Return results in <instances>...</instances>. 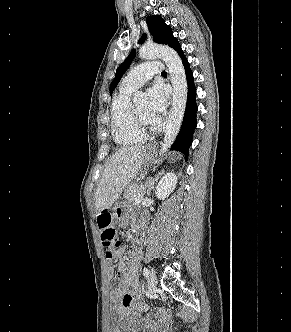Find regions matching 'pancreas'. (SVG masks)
I'll list each match as a JSON object with an SVG mask.
<instances>
[{
    "label": "pancreas",
    "instance_id": "1",
    "mask_svg": "<svg viewBox=\"0 0 291 332\" xmlns=\"http://www.w3.org/2000/svg\"><path fill=\"white\" fill-rule=\"evenodd\" d=\"M145 194V185L142 183L131 184L125 190L124 198L129 203H134L136 199H142Z\"/></svg>",
    "mask_w": 291,
    "mask_h": 332
}]
</instances>
